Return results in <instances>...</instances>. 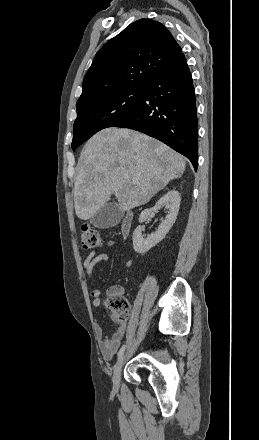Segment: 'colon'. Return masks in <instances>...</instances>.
<instances>
[{"label": "colon", "mask_w": 259, "mask_h": 440, "mask_svg": "<svg viewBox=\"0 0 259 440\" xmlns=\"http://www.w3.org/2000/svg\"><path fill=\"white\" fill-rule=\"evenodd\" d=\"M80 242L85 249H94L102 245V237L98 230L90 225H83L81 228ZM117 287H113L105 299V304L113 311L116 319L123 322L128 316L130 306L128 302L122 298Z\"/></svg>", "instance_id": "5ec220e1"}]
</instances>
